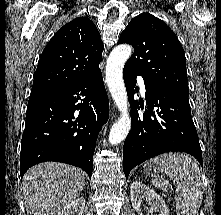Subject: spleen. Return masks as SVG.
<instances>
[{
	"mask_svg": "<svg viewBox=\"0 0 221 215\" xmlns=\"http://www.w3.org/2000/svg\"><path fill=\"white\" fill-rule=\"evenodd\" d=\"M151 164H160L161 172L166 173L176 185L177 215H198L203 197V183L198 165L187 155L168 153L155 158ZM156 187L167 191L164 179L155 177L151 180Z\"/></svg>",
	"mask_w": 221,
	"mask_h": 215,
	"instance_id": "spleen-1",
	"label": "spleen"
}]
</instances>
